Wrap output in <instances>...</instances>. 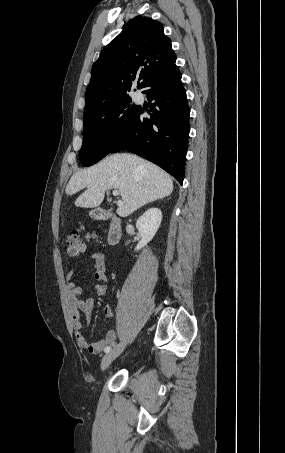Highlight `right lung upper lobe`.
Masks as SVG:
<instances>
[{"mask_svg": "<svg viewBox=\"0 0 285 453\" xmlns=\"http://www.w3.org/2000/svg\"><path fill=\"white\" fill-rule=\"evenodd\" d=\"M171 40L160 22L137 16L103 48L93 64L87 87L84 113L116 97L127 95L138 78L142 89L154 76L175 66Z\"/></svg>", "mask_w": 285, "mask_h": 453, "instance_id": "right-lung-upper-lobe-1", "label": "right lung upper lobe"}]
</instances>
